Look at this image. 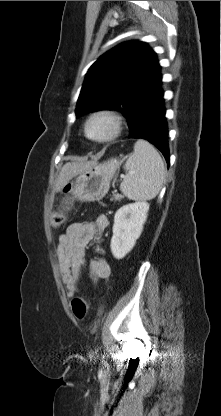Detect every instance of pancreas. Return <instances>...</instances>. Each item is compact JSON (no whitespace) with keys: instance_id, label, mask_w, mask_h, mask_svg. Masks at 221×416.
Returning <instances> with one entry per match:
<instances>
[{"instance_id":"cf45deb5","label":"pancreas","mask_w":221,"mask_h":416,"mask_svg":"<svg viewBox=\"0 0 221 416\" xmlns=\"http://www.w3.org/2000/svg\"><path fill=\"white\" fill-rule=\"evenodd\" d=\"M122 198H123V196L120 195V194H113V197L111 198V201H114V202L120 201Z\"/></svg>"}]
</instances>
